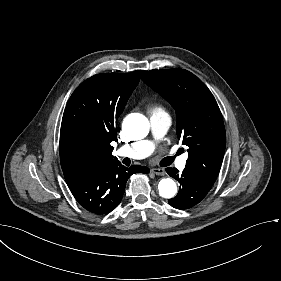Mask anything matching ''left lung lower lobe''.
I'll return each mask as SVG.
<instances>
[{
  "label": "left lung lower lobe",
  "instance_id": "left-lung-lower-lobe-1",
  "mask_svg": "<svg viewBox=\"0 0 281 281\" xmlns=\"http://www.w3.org/2000/svg\"><path fill=\"white\" fill-rule=\"evenodd\" d=\"M166 172L180 183L176 197L169 199V204L176 209H188L198 204L209 192L213 183L208 182L198 173L185 168L182 173L168 167Z\"/></svg>",
  "mask_w": 281,
  "mask_h": 281
}]
</instances>
